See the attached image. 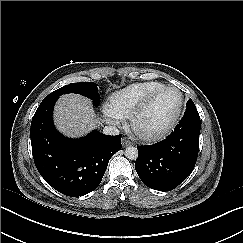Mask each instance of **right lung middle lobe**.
<instances>
[{"instance_id": "obj_1", "label": "right lung middle lobe", "mask_w": 243, "mask_h": 243, "mask_svg": "<svg viewBox=\"0 0 243 243\" xmlns=\"http://www.w3.org/2000/svg\"><path fill=\"white\" fill-rule=\"evenodd\" d=\"M97 86L98 85L94 82L71 83L50 93L48 96L45 97V99L59 97L67 93H77L90 98L91 100H93L95 106H97L100 101Z\"/></svg>"}]
</instances>
